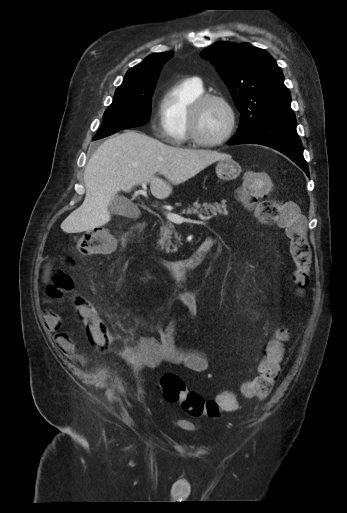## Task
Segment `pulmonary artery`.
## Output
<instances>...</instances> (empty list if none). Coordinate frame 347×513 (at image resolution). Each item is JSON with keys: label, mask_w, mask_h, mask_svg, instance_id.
Returning <instances> with one entry per match:
<instances>
[{"label": "pulmonary artery", "mask_w": 347, "mask_h": 513, "mask_svg": "<svg viewBox=\"0 0 347 513\" xmlns=\"http://www.w3.org/2000/svg\"><path fill=\"white\" fill-rule=\"evenodd\" d=\"M192 79H194V80H195V81H197L198 83H201V80H200L198 77H194V78H192Z\"/></svg>", "instance_id": "pulmonary-artery-1"}]
</instances>
